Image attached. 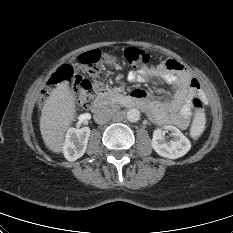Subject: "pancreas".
<instances>
[{
  "instance_id": "pancreas-1",
  "label": "pancreas",
  "mask_w": 233,
  "mask_h": 233,
  "mask_svg": "<svg viewBox=\"0 0 233 233\" xmlns=\"http://www.w3.org/2000/svg\"><path fill=\"white\" fill-rule=\"evenodd\" d=\"M116 92H112L111 94L114 95Z\"/></svg>"
}]
</instances>
